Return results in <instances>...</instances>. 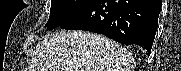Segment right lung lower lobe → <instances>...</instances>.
<instances>
[{
    "instance_id": "98d812e1",
    "label": "right lung lower lobe",
    "mask_w": 181,
    "mask_h": 71,
    "mask_svg": "<svg viewBox=\"0 0 181 71\" xmlns=\"http://www.w3.org/2000/svg\"><path fill=\"white\" fill-rule=\"evenodd\" d=\"M161 6V0H93L60 27L103 34L125 45L137 44L150 55Z\"/></svg>"
}]
</instances>
